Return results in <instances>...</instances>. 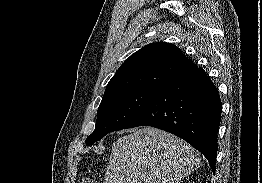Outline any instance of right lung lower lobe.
Listing matches in <instances>:
<instances>
[{
	"mask_svg": "<svg viewBox=\"0 0 262 183\" xmlns=\"http://www.w3.org/2000/svg\"><path fill=\"white\" fill-rule=\"evenodd\" d=\"M221 112L216 86L197 68L160 88L124 129L152 126L170 132L200 151L215 172Z\"/></svg>",
	"mask_w": 262,
	"mask_h": 183,
	"instance_id": "obj_1",
	"label": "right lung lower lobe"
}]
</instances>
